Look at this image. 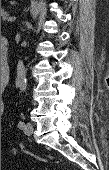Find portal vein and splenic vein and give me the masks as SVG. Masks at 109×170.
<instances>
[{
	"label": "portal vein and splenic vein",
	"instance_id": "obj_1",
	"mask_svg": "<svg viewBox=\"0 0 109 170\" xmlns=\"http://www.w3.org/2000/svg\"><path fill=\"white\" fill-rule=\"evenodd\" d=\"M15 19H16L15 17H8V16L4 17V20L10 21V22L14 21Z\"/></svg>",
	"mask_w": 109,
	"mask_h": 170
}]
</instances>
